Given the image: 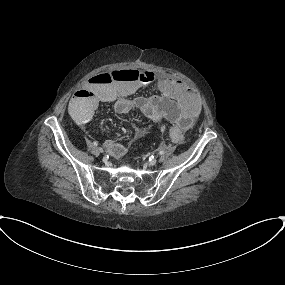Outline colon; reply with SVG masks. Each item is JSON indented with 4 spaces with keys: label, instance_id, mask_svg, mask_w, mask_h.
I'll list each match as a JSON object with an SVG mask.
<instances>
[{
    "label": "colon",
    "instance_id": "5ec220e1",
    "mask_svg": "<svg viewBox=\"0 0 285 285\" xmlns=\"http://www.w3.org/2000/svg\"><path fill=\"white\" fill-rule=\"evenodd\" d=\"M115 78L117 79H123L128 82H137L139 79L141 80H151L152 79V74H146L144 77L141 72L136 71V70H126V71H120L117 72L115 75ZM104 78V82L110 83L111 80L108 79L106 76H102Z\"/></svg>",
    "mask_w": 285,
    "mask_h": 285
}]
</instances>
